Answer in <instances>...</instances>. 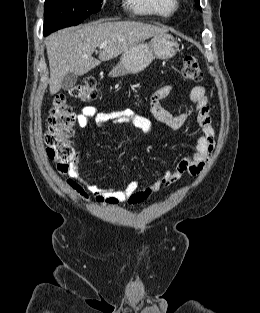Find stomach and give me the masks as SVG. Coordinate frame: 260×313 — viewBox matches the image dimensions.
Segmentation results:
<instances>
[{"label": "stomach", "mask_w": 260, "mask_h": 313, "mask_svg": "<svg viewBox=\"0 0 260 313\" xmlns=\"http://www.w3.org/2000/svg\"><path fill=\"white\" fill-rule=\"evenodd\" d=\"M179 51L177 40L168 33L155 35L149 43L140 42L123 52L119 63L110 71L118 77L143 71L154 58L169 59Z\"/></svg>", "instance_id": "0dacf381"}]
</instances>
